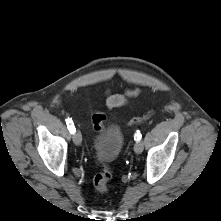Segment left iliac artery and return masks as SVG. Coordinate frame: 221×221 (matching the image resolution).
I'll list each match as a JSON object with an SVG mask.
<instances>
[{
	"label": "left iliac artery",
	"mask_w": 221,
	"mask_h": 221,
	"mask_svg": "<svg viewBox=\"0 0 221 221\" xmlns=\"http://www.w3.org/2000/svg\"><path fill=\"white\" fill-rule=\"evenodd\" d=\"M141 138H142V135H141L140 131H137L134 135V139L136 141H139V140H141Z\"/></svg>",
	"instance_id": "left-iliac-artery-1"
}]
</instances>
